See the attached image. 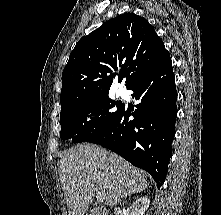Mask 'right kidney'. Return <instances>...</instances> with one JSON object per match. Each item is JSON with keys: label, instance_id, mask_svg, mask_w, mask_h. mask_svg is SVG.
Returning <instances> with one entry per match:
<instances>
[{"label": "right kidney", "instance_id": "obj_1", "mask_svg": "<svg viewBox=\"0 0 221 215\" xmlns=\"http://www.w3.org/2000/svg\"><path fill=\"white\" fill-rule=\"evenodd\" d=\"M149 205L150 199L148 197H141L127 209V215H144Z\"/></svg>", "mask_w": 221, "mask_h": 215}]
</instances>
